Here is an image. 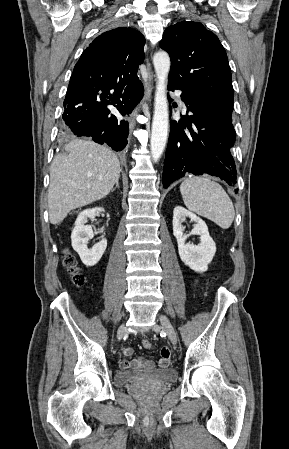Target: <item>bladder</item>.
Here are the masks:
<instances>
[{"mask_svg":"<svg viewBox=\"0 0 289 449\" xmlns=\"http://www.w3.org/2000/svg\"><path fill=\"white\" fill-rule=\"evenodd\" d=\"M177 378L174 368L149 369L145 371H118L114 383L118 387L138 383H170Z\"/></svg>","mask_w":289,"mask_h":449,"instance_id":"1","label":"bladder"}]
</instances>
